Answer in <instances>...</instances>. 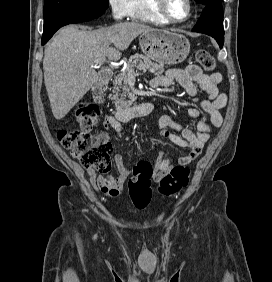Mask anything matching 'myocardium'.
<instances>
[{
  "label": "myocardium",
  "mask_w": 272,
  "mask_h": 282,
  "mask_svg": "<svg viewBox=\"0 0 272 282\" xmlns=\"http://www.w3.org/2000/svg\"><path fill=\"white\" fill-rule=\"evenodd\" d=\"M154 7L155 9L168 21L173 22V23H181L186 21L187 19L190 18L191 14H192V10H193V5H192V1L191 0H185L186 5H187V14L184 18L178 19L173 17L167 7H166V1L165 0H154Z\"/></svg>",
  "instance_id": "f54148a6"
}]
</instances>
